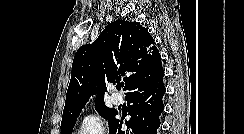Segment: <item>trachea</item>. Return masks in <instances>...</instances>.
I'll return each instance as SVG.
<instances>
[{
    "label": "trachea",
    "mask_w": 244,
    "mask_h": 134,
    "mask_svg": "<svg viewBox=\"0 0 244 134\" xmlns=\"http://www.w3.org/2000/svg\"><path fill=\"white\" fill-rule=\"evenodd\" d=\"M122 86H123V85L119 84V85L116 86V88H117L118 90H120V89L122 88Z\"/></svg>",
    "instance_id": "trachea-1"
}]
</instances>
